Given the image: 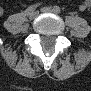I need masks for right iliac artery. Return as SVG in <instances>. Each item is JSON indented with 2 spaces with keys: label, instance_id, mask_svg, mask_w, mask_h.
Returning a JSON list of instances; mask_svg holds the SVG:
<instances>
[{
  "label": "right iliac artery",
  "instance_id": "right-iliac-artery-1",
  "mask_svg": "<svg viewBox=\"0 0 91 91\" xmlns=\"http://www.w3.org/2000/svg\"><path fill=\"white\" fill-rule=\"evenodd\" d=\"M40 5H41V3H37V4H33V5L29 6V7L26 9L25 13H26V14H29L30 12L34 11V10H35L38 6H40Z\"/></svg>",
  "mask_w": 91,
  "mask_h": 91
}]
</instances>
